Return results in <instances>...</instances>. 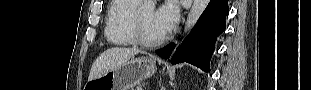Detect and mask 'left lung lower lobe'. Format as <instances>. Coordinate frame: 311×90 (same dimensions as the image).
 <instances>
[{
    "label": "left lung lower lobe",
    "mask_w": 311,
    "mask_h": 90,
    "mask_svg": "<svg viewBox=\"0 0 311 90\" xmlns=\"http://www.w3.org/2000/svg\"><path fill=\"white\" fill-rule=\"evenodd\" d=\"M228 11V0H211L190 35L177 48L171 63L188 62L209 72L214 43L217 36L225 30ZM174 47V43H171L157 50L156 54L168 59Z\"/></svg>",
    "instance_id": "1"
}]
</instances>
